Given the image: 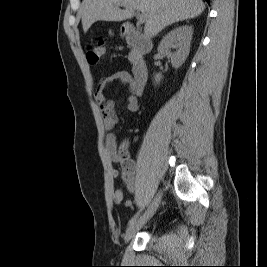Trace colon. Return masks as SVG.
<instances>
[{"instance_id":"1","label":"colon","mask_w":267,"mask_h":267,"mask_svg":"<svg viewBox=\"0 0 267 267\" xmlns=\"http://www.w3.org/2000/svg\"><path fill=\"white\" fill-rule=\"evenodd\" d=\"M107 52L108 50L105 43L100 40L89 47L87 57L90 63L95 64L103 59L107 55ZM118 153L122 160L128 159V151L125 146H122Z\"/></svg>"}]
</instances>
